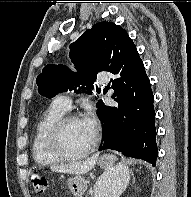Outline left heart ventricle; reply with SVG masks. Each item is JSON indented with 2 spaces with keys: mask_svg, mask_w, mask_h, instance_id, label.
Segmentation results:
<instances>
[{
  "mask_svg": "<svg viewBox=\"0 0 191 197\" xmlns=\"http://www.w3.org/2000/svg\"><path fill=\"white\" fill-rule=\"evenodd\" d=\"M92 140L83 129L80 120L67 123L61 133L62 147L70 154L82 152Z\"/></svg>",
  "mask_w": 191,
  "mask_h": 197,
  "instance_id": "b2bd125f",
  "label": "left heart ventricle"
}]
</instances>
